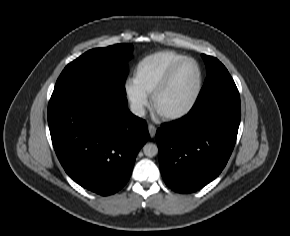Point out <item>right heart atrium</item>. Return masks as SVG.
<instances>
[{
    "mask_svg": "<svg viewBox=\"0 0 290 236\" xmlns=\"http://www.w3.org/2000/svg\"><path fill=\"white\" fill-rule=\"evenodd\" d=\"M125 95L132 112L136 115L144 114L148 105V95L134 80H128L125 83Z\"/></svg>",
    "mask_w": 290,
    "mask_h": 236,
    "instance_id": "obj_1",
    "label": "right heart atrium"
}]
</instances>
